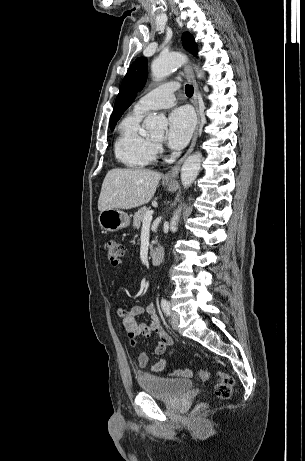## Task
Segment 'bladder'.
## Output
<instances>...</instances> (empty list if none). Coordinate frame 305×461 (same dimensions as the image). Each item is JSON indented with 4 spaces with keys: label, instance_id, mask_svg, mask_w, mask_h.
I'll return each instance as SVG.
<instances>
[{
    "label": "bladder",
    "instance_id": "bladder-1",
    "mask_svg": "<svg viewBox=\"0 0 305 461\" xmlns=\"http://www.w3.org/2000/svg\"><path fill=\"white\" fill-rule=\"evenodd\" d=\"M137 384L142 392L168 401L178 399L193 387L189 379L169 378L155 374L139 375Z\"/></svg>",
    "mask_w": 305,
    "mask_h": 461
}]
</instances>
